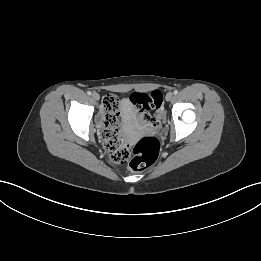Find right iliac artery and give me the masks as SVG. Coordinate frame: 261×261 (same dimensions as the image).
<instances>
[{
  "mask_svg": "<svg viewBox=\"0 0 261 261\" xmlns=\"http://www.w3.org/2000/svg\"><path fill=\"white\" fill-rule=\"evenodd\" d=\"M87 94H88V95H91L92 93H91V91H88Z\"/></svg>",
  "mask_w": 261,
  "mask_h": 261,
  "instance_id": "82829eb1",
  "label": "right iliac artery"
}]
</instances>
